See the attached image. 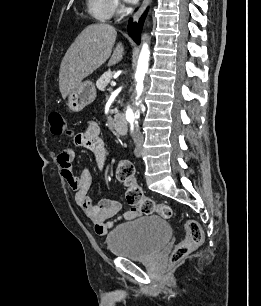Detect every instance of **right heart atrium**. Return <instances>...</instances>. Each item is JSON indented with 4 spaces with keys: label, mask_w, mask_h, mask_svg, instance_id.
Here are the masks:
<instances>
[{
    "label": "right heart atrium",
    "mask_w": 261,
    "mask_h": 306,
    "mask_svg": "<svg viewBox=\"0 0 261 306\" xmlns=\"http://www.w3.org/2000/svg\"><path fill=\"white\" fill-rule=\"evenodd\" d=\"M110 2H111V15L118 13L121 9L119 0H110Z\"/></svg>",
    "instance_id": "d8ad5b80"
}]
</instances>
